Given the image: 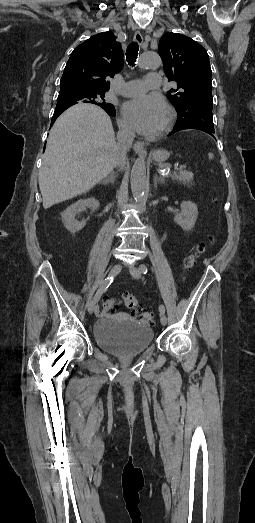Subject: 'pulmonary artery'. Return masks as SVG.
Here are the masks:
<instances>
[{
	"label": "pulmonary artery",
	"instance_id": "obj_1",
	"mask_svg": "<svg viewBox=\"0 0 255 523\" xmlns=\"http://www.w3.org/2000/svg\"><path fill=\"white\" fill-rule=\"evenodd\" d=\"M162 76L158 72H151L144 80H133L127 82L120 90L123 96H132L134 100L139 101L143 97V92H153L160 89Z\"/></svg>",
	"mask_w": 255,
	"mask_h": 523
}]
</instances>
